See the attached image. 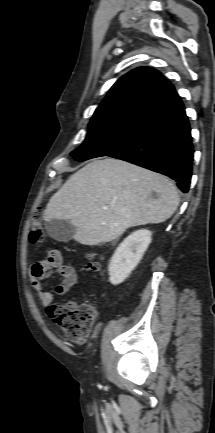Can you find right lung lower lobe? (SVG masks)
Here are the masks:
<instances>
[{"label":"right lung lower lobe","instance_id":"98d812e1","mask_svg":"<svg viewBox=\"0 0 215 433\" xmlns=\"http://www.w3.org/2000/svg\"><path fill=\"white\" fill-rule=\"evenodd\" d=\"M193 152L189 121L177 97L148 116L137 135L108 156L166 175L186 193L192 175Z\"/></svg>","mask_w":215,"mask_h":433}]
</instances>
